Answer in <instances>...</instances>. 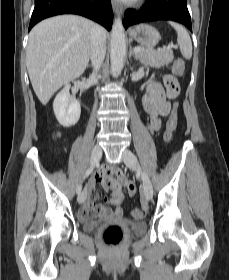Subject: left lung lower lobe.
Returning a JSON list of instances; mask_svg holds the SVG:
<instances>
[{
    "label": "left lung lower lobe",
    "instance_id": "1",
    "mask_svg": "<svg viewBox=\"0 0 229 280\" xmlns=\"http://www.w3.org/2000/svg\"><path fill=\"white\" fill-rule=\"evenodd\" d=\"M124 18L125 28L141 22L172 20L184 24L192 31L187 0H146L139 11L128 9Z\"/></svg>",
    "mask_w": 229,
    "mask_h": 280
}]
</instances>
